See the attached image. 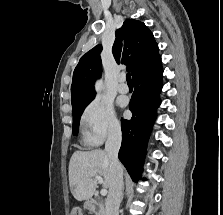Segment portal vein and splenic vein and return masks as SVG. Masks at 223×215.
Instances as JSON below:
<instances>
[{"label":"portal vein and splenic vein","mask_w":223,"mask_h":215,"mask_svg":"<svg viewBox=\"0 0 223 215\" xmlns=\"http://www.w3.org/2000/svg\"><path fill=\"white\" fill-rule=\"evenodd\" d=\"M94 177L98 183H103V177H101V175H94ZM100 193L101 195H106L107 189H101Z\"/></svg>","instance_id":"portal-vein-and-splenic-vein-1"}]
</instances>
